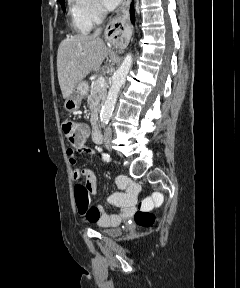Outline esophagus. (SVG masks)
I'll return each mask as SVG.
<instances>
[{"instance_id":"esophagus-1","label":"esophagus","mask_w":240,"mask_h":288,"mask_svg":"<svg viewBox=\"0 0 240 288\" xmlns=\"http://www.w3.org/2000/svg\"><path fill=\"white\" fill-rule=\"evenodd\" d=\"M130 3L131 0H123L117 14L106 27L105 37L113 45L120 46L124 43Z\"/></svg>"}]
</instances>
